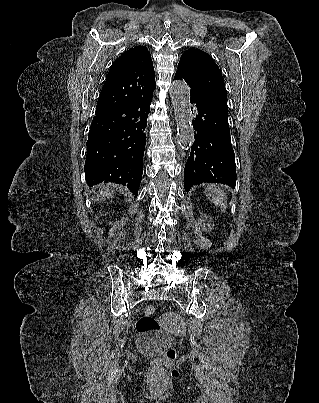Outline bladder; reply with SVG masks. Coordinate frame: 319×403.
<instances>
[{
    "label": "bladder",
    "mask_w": 319,
    "mask_h": 403,
    "mask_svg": "<svg viewBox=\"0 0 319 403\" xmlns=\"http://www.w3.org/2000/svg\"><path fill=\"white\" fill-rule=\"evenodd\" d=\"M167 341L163 339H144L140 342V347L146 351H153L167 346Z\"/></svg>",
    "instance_id": "obj_1"
}]
</instances>
